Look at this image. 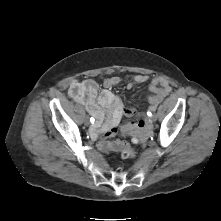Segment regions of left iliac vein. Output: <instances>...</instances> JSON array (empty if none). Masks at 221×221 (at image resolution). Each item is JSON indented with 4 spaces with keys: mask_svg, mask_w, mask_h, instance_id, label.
<instances>
[{
    "mask_svg": "<svg viewBox=\"0 0 221 221\" xmlns=\"http://www.w3.org/2000/svg\"><path fill=\"white\" fill-rule=\"evenodd\" d=\"M154 121H156V115H152L151 117V122H154Z\"/></svg>",
    "mask_w": 221,
    "mask_h": 221,
    "instance_id": "obj_1",
    "label": "left iliac vein"
}]
</instances>
